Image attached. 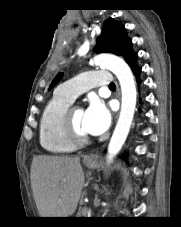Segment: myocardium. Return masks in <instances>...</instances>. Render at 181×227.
<instances>
[{
    "label": "myocardium",
    "mask_w": 181,
    "mask_h": 227,
    "mask_svg": "<svg viewBox=\"0 0 181 227\" xmlns=\"http://www.w3.org/2000/svg\"><path fill=\"white\" fill-rule=\"evenodd\" d=\"M77 108L79 107L75 105H70L67 108L63 118V127L69 140L76 146H82L90 142V137L80 133L74 125L73 111Z\"/></svg>",
    "instance_id": "obj_1"
}]
</instances>
